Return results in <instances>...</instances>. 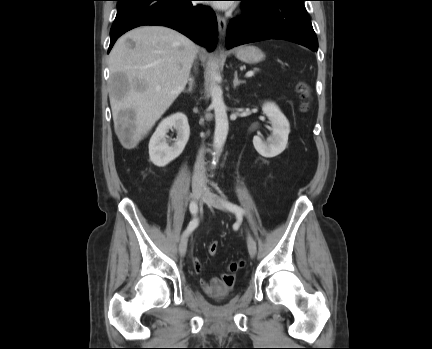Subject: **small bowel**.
Listing matches in <instances>:
<instances>
[{"label":"small bowel","instance_id":"1","mask_svg":"<svg viewBox=\"0 0 432 349\" xmlns=\"http://www.w3.org/2000/svg\"><path fill=\"white\" fill-rule=\"evenodd\" d=\"M194 269L196 272H201V263L193 260ZM235 276L232 273H225L220 277H215L210 280H202L203 289L209 294H218L228 290L234 283Z\"/></svg>","mask_w":432,"mask_h":349}]
</instances>
